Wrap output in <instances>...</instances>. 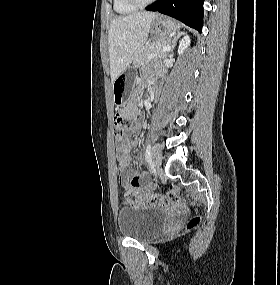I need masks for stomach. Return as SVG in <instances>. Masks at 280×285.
Returning a JSON list of instances; mask_svg holds the SVG:
<instances>
[{"label":"stomach","mask_w":280,"mask_h":285,"mask_svg":"<svg viewBox=\"0 0 280 285\" xmlns=\"http://www.w3.org/2000/svg\"><path fill=\"white\" fill-rule=\"evenodd\" d=\"M177 30L175 23L165 17H158L151 25L153 39L165 38ZM130 74L123 72L113 83V98L117 106L126 105L130 99Z\"/></svg>","instance_id":"0dacf381"}]
</instances>
